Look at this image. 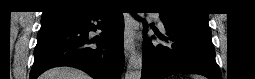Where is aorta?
I'll use <instances>...</instances> for the list:
<instances>
[{
    "instance_id": "762f6f07",
    "label": "aorta",
    "mask_w": 255,
    "mask_h": 79,
    "mask_svg": "<svg viewBox=\"0 0 255 79\" xmlns=\"http://www.w3.org/2000/svg\"><path fill=\"white\" fill-rule=\"evenodd\" d=\"M142 73V54L138 51L133 52L130 56L125 79H140Z\"/></svg>"
}]
</instances>
